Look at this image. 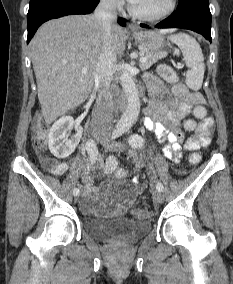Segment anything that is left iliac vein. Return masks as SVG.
<instances>
[{
  "instance_id": "obj_1",
  "label": "left iliac vein",
  "mask_w": 233,
  "mask_h": 284,
  "mask_svg": "<svg viewBox=\"0 0 233 284\" xmlns=\"http://www.w3.org/2000/svg\"><path fill=\"white\" fill-rule=\"evenodd\" d=\"M102 143L106 148H108L110 150H118V151L120 150L121 151V150L124 149V146H118L117 147V144H115V142L113 140H110L108 138H105V140ZM153 198L159 204L163 203V201H164V195L161 191H155L153 193Z\"/></svg>"
}]
</instances>
